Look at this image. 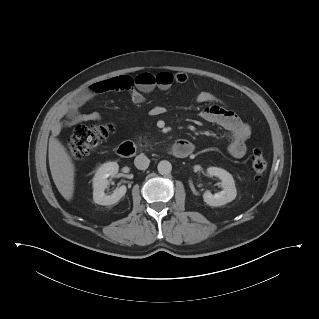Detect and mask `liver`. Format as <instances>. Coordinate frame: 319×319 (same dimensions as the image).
<instances>
[{"label":"liver","instance_id":"6515ba94","mask_svg":"<svg viewBox=\"0 0 319 319\" xmlns=\"http://www.w3.org/2000/svg\"><path fill=\"white\" fill-rule=\"evenodd\" d=\"M48 158L56 188L64 199L71 200L74 194L75 166L64 145L54 135L49 139Z\"/></svg>","mask_w":319,"mask_h":319}]
</instances>
